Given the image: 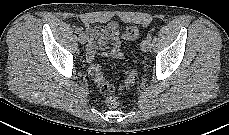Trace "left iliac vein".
Masks as SVG:
<instances>
[{
	"mask_svg": "<svg viewBox=\"0 0 229 135\" xmlns=\"http://www.w3.org/2000/svg\"><path fill=\"white\" fill-rule=\"evenodd\" d=\"M151 40L149 39H145L142 41L141 43V49L144 51V52H148L150 49H151Z\"/></svg>",
	"mask_w": 229,
	"mask_h": 135,
	"instance_id": "4c4485c4",
	"label": "left iliac vein"
}]
</instances>
